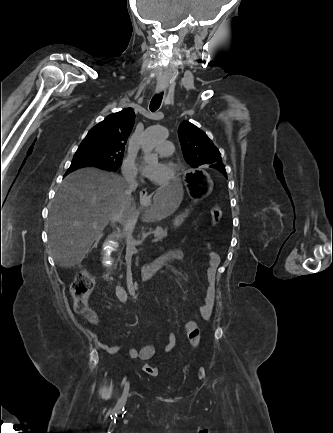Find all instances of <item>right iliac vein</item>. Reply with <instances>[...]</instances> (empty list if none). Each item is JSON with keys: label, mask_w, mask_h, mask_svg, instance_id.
Returning <instances> with one entry per match:
<instances>
[{"label": "right iliac vein", "mask_w": 333, "mask_h": 433, "mask_svg": "<svg viewBox=\"0 0 333 433\" xmlns=\"http://www.w3.org/2000/svg\"><path fill=\"white\" fill-rule=\"evenodd\" d=\"M129 387H130V384H129V382H127V383L125 384L124 389H127V388H129Z\"/></svg>", "instance_id": "1"}]
</instances>
